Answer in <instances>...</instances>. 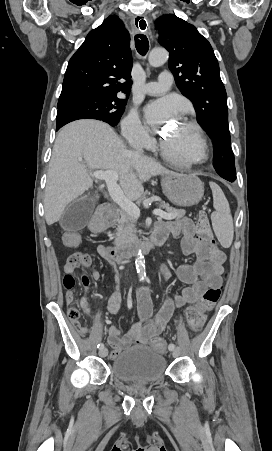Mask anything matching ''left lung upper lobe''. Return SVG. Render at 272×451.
I'll list each match as a JSON object with an SVG mask.
<instances>
[{"label":"left lung upper lobe","mask_w":272,"mask_h":451,"mask_svg":"<svg viewBox=\"0 0 272 451\" xmlns=\"http://www.w3.org/2000/svg\"><path fill=\"white\" fill-rule=\"evenodd\" d=\"M159 43L170 53L169 68L182 94L189 98L197 121L214 141V168L222 178H236L230 144L227 95L210 43L195 26L174 14L157 19Z\"/></svg>","instance_id":"1"}]
</instances>
